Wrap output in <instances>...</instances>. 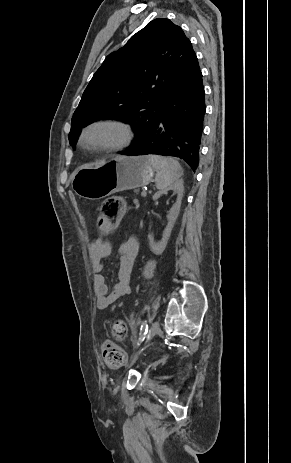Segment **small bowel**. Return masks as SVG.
<instances>
[{
	"label": "small bowel",
	"instance_id": "small-bowel-1",
	"mask_svg": "<svg viewBox=\"0 0 291 463\" xmlns=\"http://www.w3.org/2000/svg\"><path fill=\"white\" fill-rule=\"evenodd\" d=\"M139 243L133 237H127L118 249V273L112 289H109L103 275L105 260L111 255V246L101 238L96 239L90 247L93 290L96 296V307L99 310L108 308L112 303L128 295L132 291L131 278Z\"/></svg>",
	"mask_w": 291,
	"mask_h": 463
}]
</instances>
